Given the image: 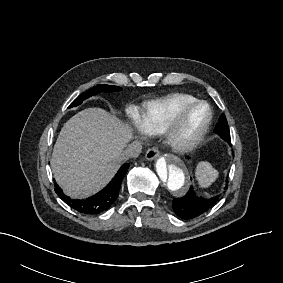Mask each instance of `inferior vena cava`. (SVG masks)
I'll return each mask as SVG.
<instances>
[{
  "mask_svg": "<svg viewBox=\"0 0 283 283\" xmlns=\"http://www.w3.org/2000/svg\"><path fill=\"white\" fill-rule=\"evenodd\" d=\"M141 153H142V145L140 144V142L135 141V142L129 143L124 148L120 157L122 160L135 159V158H138Z\"/></svg>",
  "mask_w": 283,
  "mask_h": 283,
  "instance_id": "inferior-vena-cava-1",
  "label": "inferior vena cava"
}]
</instances>
